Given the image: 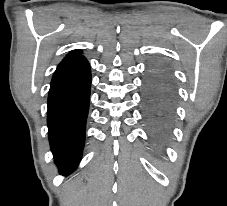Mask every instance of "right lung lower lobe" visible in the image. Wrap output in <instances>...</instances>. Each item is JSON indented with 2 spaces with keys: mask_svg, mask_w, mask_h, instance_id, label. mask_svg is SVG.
Returning <instances> with one entry per match:
<instances>
[{
  "mask_svg": "<svg viewBox=\"0 0 227 206\" xmlns=\"http://www.w3.org/2000/svg\"><path fill=\"white\" fill-rule=\"evenodd\" d=\"M90 87V66L83 56L61 62L51 81L48 135L55 162L64 175L75 170L81 160Z\"/></svg>",
  "mask_w": 227,
  "mask_h": 206,
  "instance_id": "98d812e1",
  "label": "right lung lower lobe"
}]
</instances>
